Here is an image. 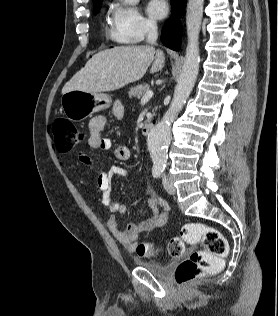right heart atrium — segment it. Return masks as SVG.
I'll return each instance as SVG.
<instances>
[{
    "mask_svg": "<svg viewBox=\"0 0 278 316\" xmlns=\"http://www.w3.org/2000/svg\"><path fill=\"white\" fill-rule=\"evenodd\" d=\"M112 37L120 43H138L156 29V23L143 16L136 8L121 2L110 7Z\"/></svg>",
    "mask_w": 278,
    "mask_h": 316,
    "instance_id": "d8ad5b80",
    "label": "right heart atrium"
}]
</instances>
